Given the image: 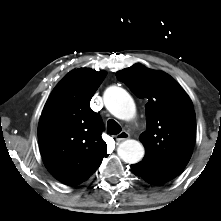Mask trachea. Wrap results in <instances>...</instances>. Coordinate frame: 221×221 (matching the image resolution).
I'll list each match as a JSON object with an SVG mask.
<instances>
[{"instance_id": "1", "label": "trachea", "mask_w": 221, "mask_h": 221, "mask_svg": "<svg viewBox=\"0 0 221 221\" xmlns=\"http://www.w3.org/2000/svg\"><path fill=\"white\" fill-rule=\"evenodd\" d=\"M107 130L110 135H117L122 131L121 126L113 119L108 120Z\"/></svg>"}]
</instances>
